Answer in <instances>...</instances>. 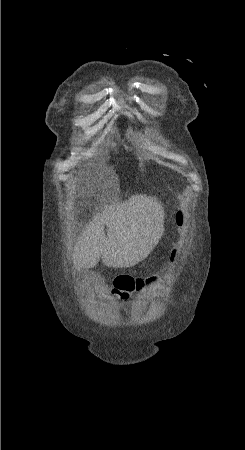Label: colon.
Masks as SVG:
<instances>
[{
	"instance_id": "1",
	"label": "colon",
	"mask_w": 245,
	"mask_h": 450,
	"mask_svg": "<svg viewBox=\"0 0 245 450\" xmlns=\"http://www.w3.org/2000/svg\"><path fill=\"white\" fill-rule=\"evenodd\" d=\"M177 225L182 233H186V231L188 229L187 218L183 213L178 214ZM176 256H177V250H173L171 257L175 259ZM118 284L120 285V287L122 289L129 291L131 293H134L143 284V280L141 278H134L132 276H127V277L121 278L118 281Z\"/></svg>"
}]
</instances>
